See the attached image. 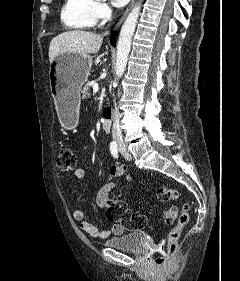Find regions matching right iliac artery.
<instances>
[{"label":"right iliac artery","instance_id":"1","mask_svg":"<svg viewBox=\"0 0 240 281\" xmlns=\"http://www.w3.org/2000/svg\"><path fill=\"white\" fill-rule=\"evenodd\" d=\"M110 152L113 157L118 158V147L116 143H111L110 144Z\"/></svg>","mask_w":240,"mask_h":281}]
</instances>
